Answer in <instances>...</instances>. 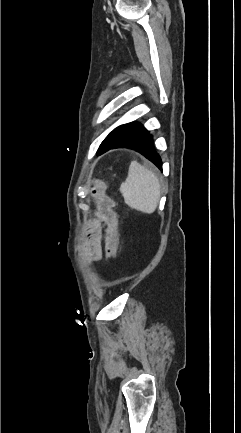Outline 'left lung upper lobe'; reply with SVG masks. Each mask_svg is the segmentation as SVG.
Here are the masks:
<instances>
[{
    "mask_svg": "<svg viewBox=\"0 0 241 433\" xmlns=\"http://www.w3.org/2000/svg\"><path fill=\"white\" fill-rule=\"evenodd\" d=\"M148 131L138 122H131L115 128L102 142L99 154L119 148L145 136Z\"/></svg>",
    "mask_w": 241,
    "mask_h": 433,
    "instance_id": "5c2ea615",
    "label": "left lung upper lobe"
}]
</instances>
